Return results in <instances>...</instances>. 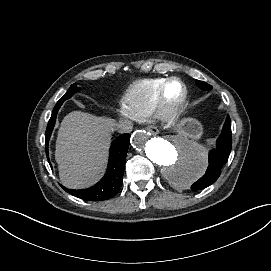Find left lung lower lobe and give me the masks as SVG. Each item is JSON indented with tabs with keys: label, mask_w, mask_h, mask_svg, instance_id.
<instances>
[{
	"label": "left lung lower lobe",
	"mask_w": 271,
	"mask_h": 271,
	"mask_svg": "<svg viewBox=\"0 0 271 271\" xmlns=\"http://www.w3.org/2000/svg\"><path fill=\"white\" fill-rule=\"evenodd\" d=\"M232 147L231 121L227 116L226 122L219 138L217 139L216 149L209 153V165L206 173L196 181L191 189L201 190L213 184L221 174V169L228 160Z\"/></svg>",
	"instance_id": "obj_1"
}]
</instances>
